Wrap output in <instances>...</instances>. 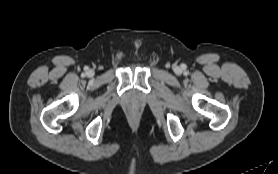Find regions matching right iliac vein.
<instances>
[{
	"label": "right iliac vein",
	"instance_id": "63e3f726",
	"mask_svg": "<svg viewBox=\"0 0 278 174\" xmlns=\"http://www.w3.org/2000/svg\"><path fill=\"white\" fill-rule=\"evenodd\" d=\"M87 75H88L89 77H92V76L94 75V70H89V71L87 72Z\"/></svg>",
	"mask_w": 278,
	"mask_h": 174
}]
</instances>
